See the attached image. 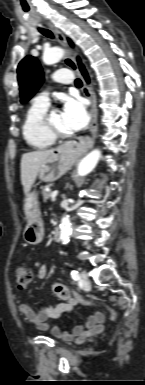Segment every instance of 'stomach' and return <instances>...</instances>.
<instances>
[{
  "mask_svg": "<svg viewBox=\"0 0 145 385\" xmlns=\"http://www.w3.org/2000/svg\"><path fill=\"white\" fill-rule=\"evenodd\" d=\"M76 156L68 145L57 148L41 165L38 176L43 182H52L59 179L71 169ZM23 209L27 216V225L24 230V240L31 245L40 243L44 236L43 222L40 217L37 193L29 192L23 200Z\"/></svg>",
  "mask_w": 145,
  "mask_h": 385,
  "instance_id": "stomach-1",
  "label": "stomach"
}]
</instances>
